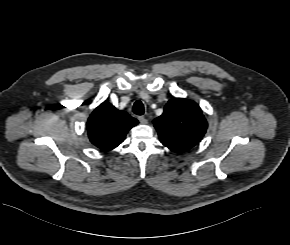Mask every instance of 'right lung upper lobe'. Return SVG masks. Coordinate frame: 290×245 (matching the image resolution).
I'll use <instances>...</instances> for the list:
<instances>
[{
  "label": "right lung upper lobe",
  "mask_w": 290,
  "mask_h": 245,
  "mask_svg": "<svg viewBox=\"0 0 290 245\" xmlns=\"http://www.w3.org/2000/svg\"><path fill=\"white\" fill-rule=\"evenodd\" d=\"M137 124L138 121L127 112L102 103L90 115L87 131L90 141L96 147L109 151L122 143L127 132Z\"/></svg>",
  "instance_id": "right-lung-upper-lobe-1"
}]
</instances>
